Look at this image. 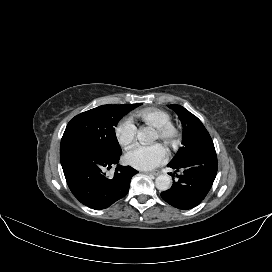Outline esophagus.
I'll return each mask as SVG.
<instances>
[{
  "mask_svg": "<svg viewBox=\"0 0 272 272\" xmlns=\"http://www.w3.org/2000/svg\"><path fill=\"white\" fill-rule=\"evenodd\" d=\"M148 175H154V176H158L160 174L159 171H152V172H145Z\"/></svg>",
  "mask_w": 272,
  "mask_h": 272,
  "instance_id": "esophagus-1",
  "label": "esophagus"
}]
</instances>
